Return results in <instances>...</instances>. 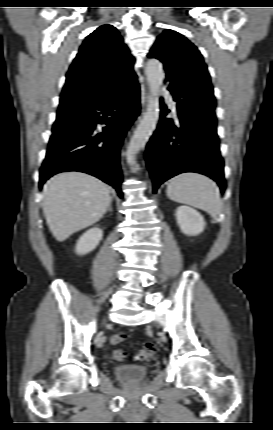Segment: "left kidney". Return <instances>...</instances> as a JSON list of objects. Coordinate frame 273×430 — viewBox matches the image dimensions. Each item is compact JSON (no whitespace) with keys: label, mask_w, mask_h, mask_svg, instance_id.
<instances>
[{"label":"left kidney","mask_w":273,"mask_h":430,"mask_svg":"<svg viewBox=\"0 0 273 430\" xmlns=\"http://www.w3.org/2000/svg\"><path fill=\"white\" fill-rule=\"evenodd\" d=\"M176 220L181 231L188 236L200 234L206 225L200 212L189 206H179L177 208Z\"/></svg>","instance_id":"1"}]
</instances>
